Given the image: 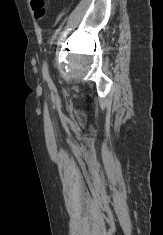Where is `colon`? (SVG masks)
<instances>
[{
  "mask_svg": "<svg viewBox=\"0 0 163 235\" xmlns=\"http://www.w3.org/2000/svg\"><path fill=\"white\" fill-rule=\"evenodd\" d=\"M31 6L37 19H42L45 16L46 0H31Z\"/></svg>",
  "mask_w": 163,
  "mask_h": 235,
  "instance_id": "5ec220e1",
  "label": "colon"
}]
</instances>
